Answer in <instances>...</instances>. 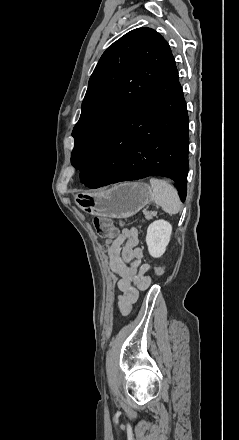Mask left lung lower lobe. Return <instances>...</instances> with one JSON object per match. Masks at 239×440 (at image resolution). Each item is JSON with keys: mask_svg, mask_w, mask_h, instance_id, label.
Listing matches in <instances>:
<instances>
[{"mask_svg": "<svg viewBox=\"0 0 239 440\" xmlns=\"http://www.w3.org/2000/svg\"><path fill=\"white\" fill-rule=\"evenodd\" d=\"M188 125L186 102L174 57L129 113L110 131L92 160L80 171L90 188L165 176L187 194Z\"/></svg>", "mask_w": 239, "mask_h": 440, "instance_id": "1", "label": "left lung lower lobe"}]
</instances>
